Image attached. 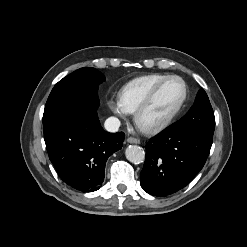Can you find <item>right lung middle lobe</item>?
<instances>
[{
    "mask_svg": "<svg viewBox=\"0 0 247 247\" xmlns=\"http://www.w3.org/2000/svg\"><path fill=\"white\" fill-rule=\"evenodd\" d=\"M104 75L95 68H80L61 79L52 89L45 105L43 127L99 106L98 85Z\"/></svg>",
    "mask_w": 247,
    "mask_h": 247,
    "instance_id": "right-lung-middle-lobe-1",
    "label": "right lung middle lobe"
}]
</instances>
